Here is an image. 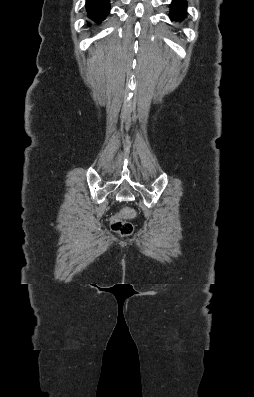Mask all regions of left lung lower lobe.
<instances>
[{
  "instance_id": "0a47b994",
  "label": "left lung lower lobe",
  "mask_w": 254,
  "mask_h": 397,
  "mask_svg": "<svg viewBox=\"0 0 254 397\" xmlns=\"http://www.w3.org/2000/svg\"><path fill=\"white\" fill-rule=\"evenodd\" d=\"M187 2L186 0H172L170 5L171 20H182L186 14Z\"/></svg>"
}]
</instances>
